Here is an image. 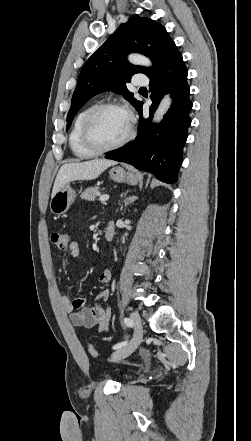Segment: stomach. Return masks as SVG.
<instances>
[{
    "label": "stomach",
    "mask_w": 251,
    "mask_h": 441,
    "mask_svg": "<svg viewBox=\"0 0 251 441\" xmlns=\"http://www.w3.org/2000/svg\"><path fill=\"white\" fill-rule=\"evenodd\" d=\"M109 175L110 178L117 183L125 182L131 185H136L138 182V175L135 172L125 171L122 167L111 168ZM75 197V191L69 185H66L52 196L50 202L51 212L55 215L64 214L74 202Z\"/></svg>",
    "instance_id": "0dacf381"
}]
</instances>
